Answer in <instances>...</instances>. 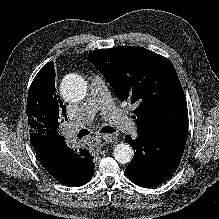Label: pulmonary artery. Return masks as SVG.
<instances>
[{
  "label": "pulmonary artery",
  "instance_id": "obj_1",
  "mask_svg": "<svg viewBox=\"0 0 219 219\" xmlns=\"http://www.w3.org/2000/svg\"><path fill=\"white\" fill-rule=\"evenodd\" d=\"M97 111H100L104 118L120 131L126 133L135 132L136 126L134 122L113 103L106 82L100 75L92 77L89 97L80 107L75 121L89 123L93 120Z\"/></svg>",
  "mask_w": 219,
  "mask_h": 219
}]
</instances>
